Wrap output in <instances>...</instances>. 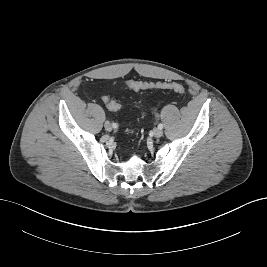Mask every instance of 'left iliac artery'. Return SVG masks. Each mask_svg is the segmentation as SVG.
I'll return each mask as SVG.
<instances>
[{
    "label": "left iliac artery",
    "mask_w": 267,
    "mask_h": 267,
    "mask_svg": "<svg viewBox=\"0 0 267 267\" xmlns=\"http://www.w3.org/2000/svg\"><path fill=\"white\" fill-rule=\"evenodd\" d=\"M158 128L162 129L163 128V124H158Z\"/></svg>",
    "instance_id": "obj_1"
}]
</instances>
